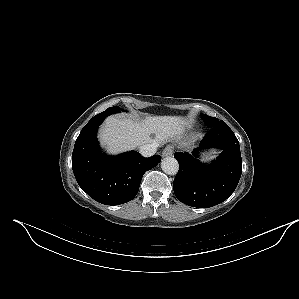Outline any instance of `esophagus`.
<instances>
[{
	"label": "esophagus",
	"instance_id": "esophagus-1",
	"mask_svg": "<svg viewBox=\"0 0 299 299\" xmlns=\"http://www.w3.org/2000/svg\"><path fill=\"white\" fill-rule=\"evenodd\" d=\"M173 150L174 147L172 145H167L162 152V156L163 157L171 156L173 154Z\"/></svg>",
	"mask_w": 299,
	"mask_h": 299
}]
</instances>
